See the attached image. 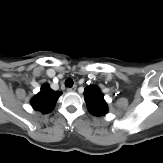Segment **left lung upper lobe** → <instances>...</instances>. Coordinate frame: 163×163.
<instances>
[{"label":"left lung upper lobe","mask_w":163,"mask_h":163,"mask_svg":"<svg viewBox=\"0 0 163 163\" xmlns=\"http://www.w3.org/2000/svg\"><path fill=\"white\" fill-rule=\"evenodd\" d=\"M85 101L90 113L95 116L105 115L108 111L107 104L100 89L96 86H87L84 90Z\"/></svg>","instance_id":"1"}]
</instances>
